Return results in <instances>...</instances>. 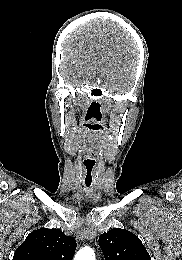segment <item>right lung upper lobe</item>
Listing matches in <instances>:
<instances>
[{
	"instance_id": "obj_1",
	"label": "right lung upper lobe",
	"mask_w": 182,
	"mask_h": 260,
	"mask_svg": "<svg viewBox=\"0 0 182 260\" xmlns=\"http://www.w3.org/2000/svg\"><path fill=\"white\" fill-rule=\"evenodd\" d=\"M76 241L59 229L31 232L15 251L13 260H72Z\"/></svg>"
}]
</instances>
